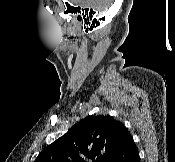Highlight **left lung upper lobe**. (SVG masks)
<instances>
[{
  "instance_id": "1",
  "label": "left lung upper lobe",
  "mask_w": 175,
  "mask_h": 162,
  "mask_svg": "<svg viewBox=\"0 0 175 162\" xmlns=\"http://www.w3.org/2000/svg\"><path fill=\"white\" fill-rule=\"evenodd\" d=\"M126 132L109 115L89 116L43 149L35 162H109Z\"/></svg>"
}]
</instances>
